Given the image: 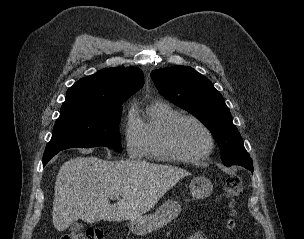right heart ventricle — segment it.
<instances>
[{"label": "right heart ventricle", "instance_id": "e07e8e85", "mask_svg": "<svg viewBox=\"0 0 304 239\" xmlns=\"http://www.w3.org/2000/svg\"><path fill=\"white\" fill-rule=\"evenodd\" d=\"M179 114L178 110L164 101L157 100L147 106L145 119L139 120L142 157L153 161H173L163 147V135L167 124Z\"/></svg>", "mask_w": 304, "mask_h": 239}]
</instances>
